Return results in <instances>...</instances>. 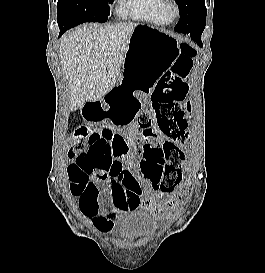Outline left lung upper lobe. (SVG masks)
<instances>
[{
    "mask_svg": "<svg viewBox=\"0 0 265 273\" xmlns=\"http://www.w3.org/2000/svg\"><path fill=\"white\" fill-rule=\"evenodd\" d=\"M175 1L179 5L180 16L189 13L191 10H193L197 6V3H196L197 0H175ZM203 14H204L205 23H206V8L205 7H204Z\"/></svg>",
    "mask_w": 265,
    "mask_h": 273,
    "instance_id": "1",
    "label": "left lung upper lobe"
}]
</instances>
